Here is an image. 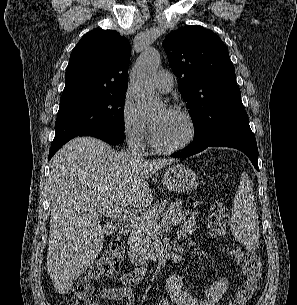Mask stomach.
<instances>
[{
  "label": "stomach",
  "instance_id": "obj_1",
  "mask_svg": "<svg viewBox=\"0 0 297 305\" xmlns=\"http://www.w3.org/2000/svg\"><path fill=\"white\" fill-rule=\"evenodd\" d=\"M162 183L169 191L184 193L195 189L199 181L196 173L191 168L176 164L165 170Z\"/></svg>",
  "mask_w": 297,
  "mask_h": 305
}]
</instances>
